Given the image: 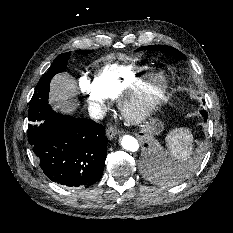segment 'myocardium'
<instances>
[{"instance_id": "obj_1", "label": "myocardium", "mask_w": 233, "mask_h": 233, "mask_svg": "<svg viewBox=\"0 0 233 233\" xmlns=\"http://www.w3.org/2000/svg\"><path fill=\"white\" fill-rule=\"evenodd\" d=\"M168 90L167 77L160 72L127 87L119 96L118 105L124 118L134 124L150 117L163 101Z\"/></svg>"}]
</instances>
